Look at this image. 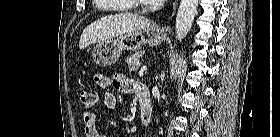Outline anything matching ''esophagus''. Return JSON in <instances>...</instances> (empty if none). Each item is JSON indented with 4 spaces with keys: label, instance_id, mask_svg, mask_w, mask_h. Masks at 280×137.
Returning a JSON list of instances; mask_svg holds the SVG:
<instances>
[{
    "label": "esophagus",
    "instance_id": "esophagus-1",
    "mask_svg": "<svg viewBox=\"0 0 280 137\" xmlns=\"http://www.w3.org/2000/svg\"><path fill=\"white\" fill-rule=\"evenodd\" d=\"M177 5H178V0H175L174 1V10H173V13H172V16H174V14H175V12H176V9H177ZM156 30L158 31V32H160V33H166V31H167V26L165 25V26H159V27H157L156 28Z\"/></svg>",
    "mask_w": 280,
    "mask_h": 137
}]
</instances>
